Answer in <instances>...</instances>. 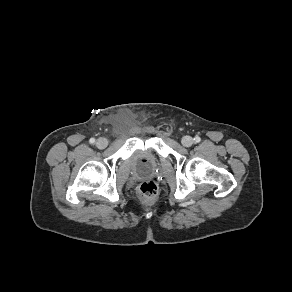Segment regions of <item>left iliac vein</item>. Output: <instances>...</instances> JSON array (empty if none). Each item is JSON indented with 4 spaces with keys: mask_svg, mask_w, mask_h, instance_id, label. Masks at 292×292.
Returning a JSON list of instances; mask_svg holds the SVG:
<instances>
[{
    "mask_svg": "<svg viewBox=\"0 0 292 292\" xmlns=\"http://www.w3.org/2000/svg\"><path fill=\"white\" fill-rule=\"evenodd\" d=\"M194 143L192 137L190 136H184L182 138V144L185 146V147H190L192 146V144Z\"/></svg>",
    "mask_w": 292,
    "mask_h": 292,
    "instance_id": "4c4485c4",
    "label": "left iliac vein"
}]
</instances>
